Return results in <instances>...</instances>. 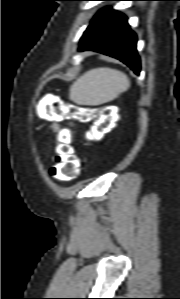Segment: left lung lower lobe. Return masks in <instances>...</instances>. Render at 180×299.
Here are the masks:
<instances>
[{"mask_svg": "<svg viewBox=\"0 0 180 299\" xmlns=\"http://www.w3.org/2000/svg\"><path fill=\"white\" fill-rule=\"evenodd\" d=\"M120 1V0H102ZM137 37L127 23V17L111 7L101 9L84 32L79 51L92 50L121 60L136 74L140 59L136 50Z\"/></svg>", "mask_w": 180, "mask_h": 299, "instance_id": "obj_1", "label": "left lung lower lobe"}]
</instances>
